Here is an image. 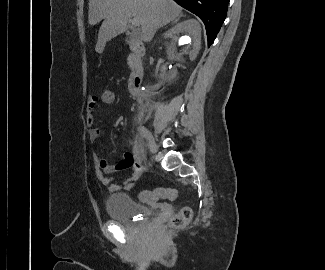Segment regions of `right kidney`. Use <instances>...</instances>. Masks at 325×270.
I'll return each instance as SVG.
<instances>
[{
	"mask_svg": "<svg viewBox=\"0 0 325 270\" xmlns=\"http://www.w3.org/2000/svg\"><path fill=\"white\" fill-rule=\"evenodd\" d=\"M164 37L170 39L166 44L167 62L158 70L167 80L173 81L187 68L188 62L197 57L201 47V27L193 19L186 20L168 30Z\"/></svg>",
	"mask_w": 325,
	"mask_h": 270,
	"instance_id": "right-kidney-1",
	"label": "right kidney"
}]
</instances>
